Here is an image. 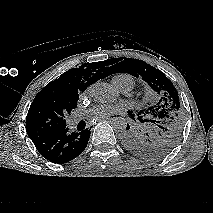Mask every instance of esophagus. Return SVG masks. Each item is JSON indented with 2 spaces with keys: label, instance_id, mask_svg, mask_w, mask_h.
I'll use <instances>...</instances> for the list:
<instances>
[{
  "label": "esophagus",
  "instance_id": "34e87169",
  "mask_svg": "<svg viewBox=\"0 0 213 213\" xmlns=\"http://www.w3.org/2000/svg\"><path fill=\"white\" fill-rule=\"evenodd\" d=\"M114 118L111 116L108 117H103V118H97V121H102V120H113Z\"/></svg>",
  "mask_w": 213,
  "mask_h": 213
}]
</instances>
